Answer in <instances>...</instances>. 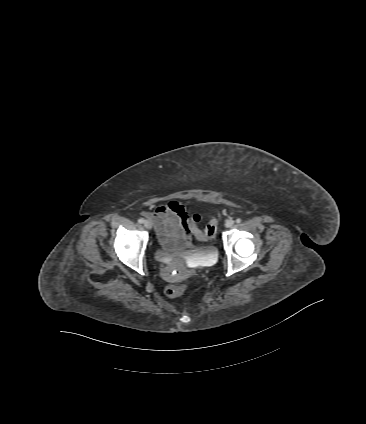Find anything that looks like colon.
<instances>
[{"label": "colon", "instance_id": "1", "mask_svg": "<svg viewBox=\"0 0 366 424\" xmlns=\"http://www.w3.org/2000/svg\"><path fill=\"white\" fill-rule=\"evenodd\" d=\"M200 216L194 214L190 217H186L184 225L189 233L193 234L200 240H209L213 238L217 231L218 219H212L203 229L199 227ZM187 286L184 283L171 284L166 288V293L169 297H179L186 292Z\"/></svg>", "mask_w": 366, "mask_h": 424}]
</instances>
